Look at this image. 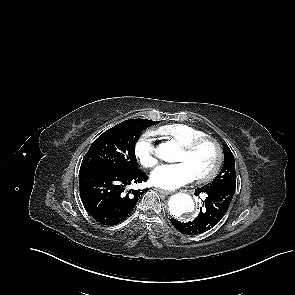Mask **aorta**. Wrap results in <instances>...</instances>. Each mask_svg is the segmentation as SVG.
<instances>
[{
	"label": "aorta",
	"instance_id": "762f6f07",
	"mask_svg": "<svg viewBox=\"0 0 295 295\" xmlns=\"http://www.w3.org/2000/svg\"><path fill=\"white\" fill-rule=\"evenodd\" d=\"M180 151L178 143L174 140L162 143L157 149V156L161 160L173 162L176 154ZM195 209L192 197L186 193H178L170 197L168 210L173 217L180 219L190 215Z\"/></svg>",
	"mask_w": 295,
	"mask_h": 295
}]
</instances>
